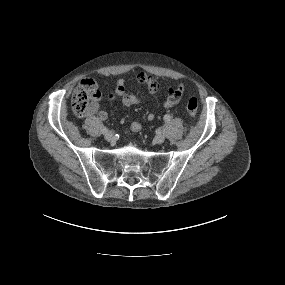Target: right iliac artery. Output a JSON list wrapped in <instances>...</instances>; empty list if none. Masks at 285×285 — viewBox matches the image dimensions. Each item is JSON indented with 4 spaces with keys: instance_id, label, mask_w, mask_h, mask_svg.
Masks as SVG:
<instances>
[{
    "instance_id": "right-iliac-artery-1",
    "label": "right iliac artery",
    "mask_w": 285,
    "mask_h": 285,
    "mask_svg": "<svg viewBox=\"0 0 285 285\" xmlns=\"http://www.w3.org/2000/svg\"><path fill=\"white\" fill-rule=\"evenodd\" d=\"M101 131L103 134H106L108 132V129L106 127H103Z\"/></svg>"
}]
</instances>
